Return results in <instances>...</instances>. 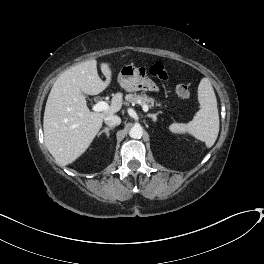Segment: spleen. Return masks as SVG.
<instances>
[{
  "label": "spleen",
  "mask_w": 264,
  "mask_h": 264,
  "mask_svg": "<svg viewBox=\"0 0 264 264\" xmlns=\"http://www.w3.org/2000/svg\"><path fill=\"white\" fill-rule=\"evenodd\" d=\"M198 101L200 110L192 121L187 124L172 123L169 130L173 133H188L196 139L205 142L207 147H212L219 133V114L217 99L208 78H203L198 86Z\"/></svg>",
  "instance_id": "3e777b00"
}]
</instances>
